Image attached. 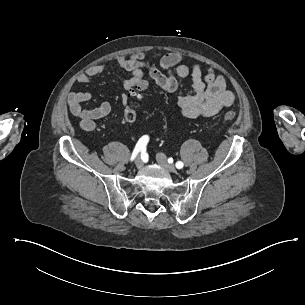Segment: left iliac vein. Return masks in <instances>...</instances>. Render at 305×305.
Wrapping results in <instances>:
<instances>
[{
  "instance_id": "obj_1",
  "label": "left iliac vein",
  "mask_w": 305,
  "mask_h": 305,
  "mask_svg": "<svg viewBox=\"0 0 305 305\" xmlns=\"http://www.w3.org/2000/svg\"><path fill=\"white\" fill-rule=\"evenodd\" d=\"M156 160L158 164L169 172H175L176 168L174 165L167 162V158L163 153L156 155Z\"/></svg>"
}]
</instances>
